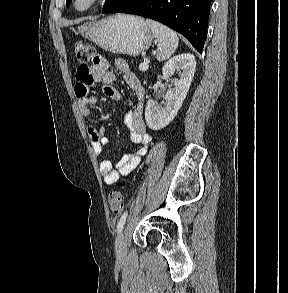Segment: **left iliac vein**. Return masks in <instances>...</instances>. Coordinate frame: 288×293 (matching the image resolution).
I'll list each match as a JSON object with an SVG mask.
<instances>
[{"mask_svg":"<svg viewBox=\"0 0 288 293\" xmlns=\"http://www.w3.org/2000/svg\"><path fill=\"white\" fill-rule=\"evenodd\" d=\"M115 251L120 258L126 254V241L123 233H120L116 239Z\"/></svg>","mask_w":288,"mask_h":293,"instance_id":"4c4485c4","label":"left iliac vein"}]
</instances>
